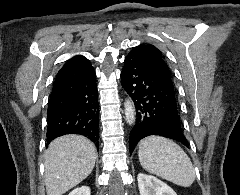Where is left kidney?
<instances>
[{
  "label": "left kidney",
  "instance_id": "1",
  "mask_svg": "<svg viewBox=\"0 0 240 195\" xmlns=\"http://www.w3.org/2000/svg\"><path fill=\"white\" fill-rule=\"evenodd\" d=\"M137 181L140 195H177L170 185H167L158 177H154V175L138 173Z\"/></svg>",
  "mask_w": 240,
  "mask_h": 195
}]
</instances>
